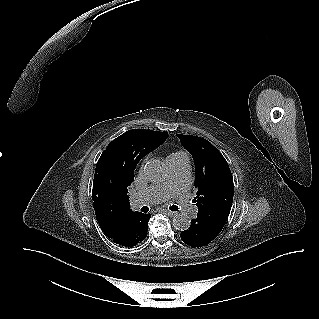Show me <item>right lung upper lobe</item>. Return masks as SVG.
Segmentation results:
<instances>
[{"label": "right lung upper lobe", "instance_id": "obj_1", "mask_svg": "<svg viewBox=\"0 0 319 319\" xmlns=\"http://www.w3.org/2000/svg\"><path fill=\"white\" fill-rule=\"evenodd\" d=\"M168 138V132L132 129L114 139L108 147L126 151L137 164L145 155L156 149ZM97 221L107 237L115 234L117 227L133 213L129 198L94 205Z\"/></svg>", "mask_w": 319, "mask_h": 319}]
</instances>
